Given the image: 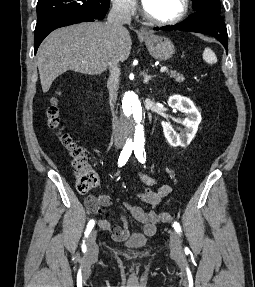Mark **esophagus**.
<instances>
[{
  "label": "esophagus",
  "instance_id": "34e87169",
  "mask_svg": "<svg viewBox=\"0 0 255 287\" xmlns=\"http://www.w3.org/2000/svg\"><path fill=\"white\" fill-rule=\"evenodd\" d=\"M139 32H140V34H142L144 36H147L149 34L148 28H146V27H141L139 29Z\"/></svg>",
  "mask_w": 255,
  "mask_h": 287
}]
</instances>
